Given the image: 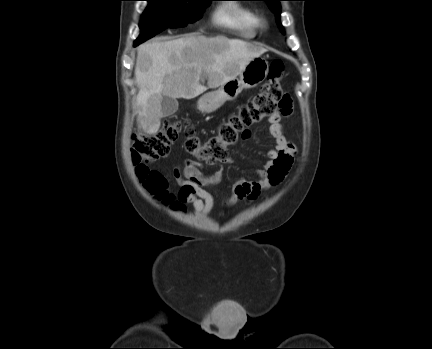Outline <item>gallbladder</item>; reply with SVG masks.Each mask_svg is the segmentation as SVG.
<instances>
[{"instance_id":"obj_1","label":"gallbladder","mask_w":432,"mask_h":349,"mask_svg":"<svg viewBox=\"0 0 432 349\" xmlns=\"http://www.w3.org/2000/svg\"><path fill=\"white\" fill-rule=\"evenodd\" d=\"M178 101L168 96H163L161 100V112L164 117L173 115L178 110Z\"/></svg>"}]
</instances>
